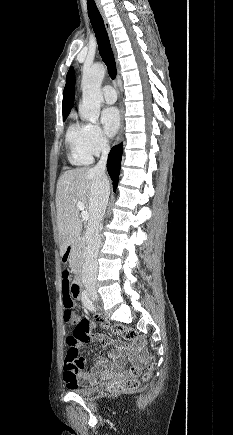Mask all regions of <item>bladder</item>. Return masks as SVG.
Listing matches in <instances>:
<instances>
[{
  "instance_id": "31cf9c89",
  "label": "bladder",
  "mask_w": 233,
  "mask_h": 435,
  "mask_svg": "<svg viewBox=\"0 0 233 435\" xmlns=\"http://www.w3.org/2000/svg\"><path fill=\"white\" fill-rule=\"evenodd\" d=\"M101 388L100 384L96 383H87L83 384L79 387H75L72 389L73 393L79 394V395H91L96 392H98Z\"/></svg>"
}]
</instances>
